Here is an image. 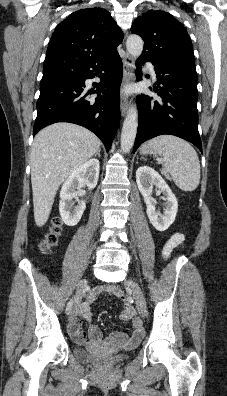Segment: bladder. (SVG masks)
I'll return each instance as SVG.
<instances>
[{"mask_svg":"<svg viewBox=\"0 0 227 396\" xmlns=\"http://www.w3.org/2000/svg\"><path fill=\"white\" fill-rule=\"evenodd\" d=\"M74 356L77 360L95 367H111L126 359L125 354L101 355L92 353L83 348H75Z\"/></svg>","mask_w":227,"mask_h":396,"instance_id":"obj_1","label":"bladder"}]
</instances>
